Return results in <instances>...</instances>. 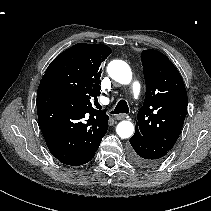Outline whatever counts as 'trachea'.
<instances>
[{
    "label": "trachea",
    "mask_w": 211,
    "mask_h": 211,
    "mask_svg": "<svg viewBox=\"0 0 211 211\" xmlns=\"http://www.w3.org/2000/svg\"><path fill=\"white\" fill-rule=\"evenodd\" d=\"M95 106L97 109L101 110L102 106L96 102ZM111 114H119V113H125L128 114L129 113V107L127 105V102L125 100H120L118 102V104L116 105L115 109L113 111L110 112Z\"/></svg>",
    "instance_id": "1"
}]
</instances>
